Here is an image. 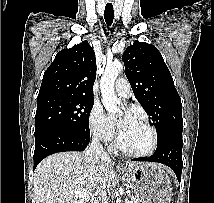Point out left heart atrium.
Segmentation results:
<instances>
[{"instance_id": "39dd6f15", "label": "left heart atrium", "mask_w": 214, "mask_h": 203, "mask_svg": "<svg viewBox=\"0 0 214 203\" xmlns=\"http://www.w3.org/2000/svg\"><path fill=\"white\" fill-rule=\"evenodd\" d=\"M134 117L131 113H129L127 116L124 117L123 120H121V122L119 123V128H121L124 124H126L127 122L133 120Z\"/></svg>"}]
</instances>
